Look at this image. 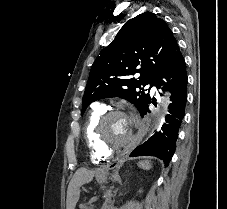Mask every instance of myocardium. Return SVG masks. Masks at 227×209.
Returning a JSON list of instances; mask_svg holds the SVG:
<instances>
[{"instance_id": "f54148a6", "label": "myocardium", "mask_w": 227, "mask_h": 209, "mask_svg": "<svg viewBox=\"0 0 227 209\" xmlns=\"http://www.w3.org/2000/svg\"><path fill=\"white\" fill-rule=\"evenodd\" d=\"M114 116H124L123 112L116 109H111L104 111V113L98 118L94 127V139L97 146L101 149L102 152L112 155L115 152L120 151L122 148H125L134 138L135 133L134 129L131 126V133L128 139L123 142L109 145L103 138V128L106 122Z\"/></svg>"}]
</instances>
